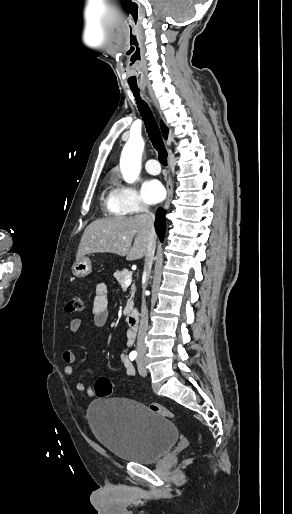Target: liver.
<instances>
[{"label":"liver","instance_id":"6515ba94","mask_svg":"<svg viewBox=\"0 0 292 514\" xmlns=\"http://www.w3.org/2000/svg\"><path fill=\"white\" fill-rule=\"evenodd\" d=\"M146 214L102 218L87 226L79 244L77 258L97 252L126 256V260H140L146 256L148 238ZM134 244L131 248L132 240Z\"/></svg>","mask_w":292,"mask_h":514}]
</instances>
